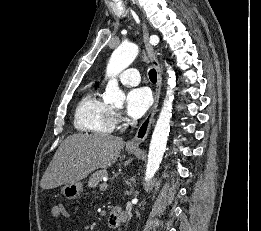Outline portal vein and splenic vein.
Returning a JSON list of instances; mask_svg holds the SVG:
<instances>
[{
	"label": "portal vein and splenic vein",
	"mask_w": 261,
	"mask_h": 231,
	"mask_svg": "<svg viewBox=\"0 0 261 231\" xmlns=\"http://www.w3.org/2000/svg\"><path fill=\"white\" fill-rule=\"evenodd\" d=\"M108 183L107 182H104L101 186H100V189L101 190H106L108 188Z\"/></svg>",
	"instance_id": "portal-vein-and-splenic-vein-1"
}]
</instances>
